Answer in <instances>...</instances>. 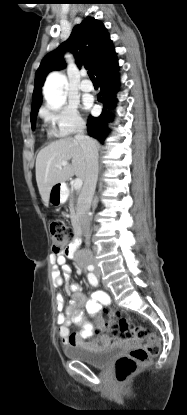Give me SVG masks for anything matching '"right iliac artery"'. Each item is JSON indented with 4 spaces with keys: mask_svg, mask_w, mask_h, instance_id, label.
<instances>
[{
    "mask_svg": "<svg viewBox=\"0 0 187 415\" xmlns=\"http://www.w3.org/2000/svg\"><path fill=\"white\" fill-rule=\"evenodd\" d=\"M94 269V267L92 265L88 266V270L92 271Z\"/></svg>",
    "mask_w": 187,
    "mask_h": 415,
    "instance_id": "right-iliac-artery-1",
    "label": "right iliac artery"
}]
</instances>
